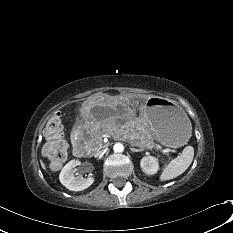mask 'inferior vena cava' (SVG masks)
Returning <instances> with one entry per match:
<instances>
[{
    "label": "inferior vena cava",
    "instance_id": "1",
    "mask_svg": "<svg viewBox=\"0 0 233 233\" xmlns=\"http://www.w3.org/2000/svg\"><path fill=\"white\" fill-rule=\"evenodd\" d=\"M102 152L103 150L96 152L95 156H99Z\"/></svg>",
    "mask_w": 233,
    "mask_h": 233
}]
</instances>
